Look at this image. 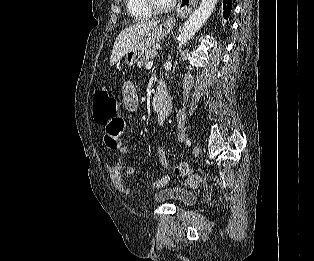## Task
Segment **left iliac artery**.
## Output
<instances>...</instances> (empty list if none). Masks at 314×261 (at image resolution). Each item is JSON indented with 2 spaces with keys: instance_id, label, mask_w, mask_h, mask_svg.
<instances>
[{
  "instance_id": "obj_1",
  "label": "left iliac artery",
  "mask_w": 314,
  "mask_h": 261,
  "mask_svg": "<svg viewBox=\"0 0 314 261\" xmlns=\"http://www.w3.org/2000/svg\"><path fill=\"white\" fill-rule=\"evenodd\" d=\"M186 145L189 146V147L191 146V141H190V139H186Z\"/></svg>"
}]
</instances>
